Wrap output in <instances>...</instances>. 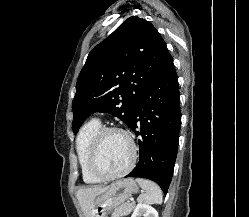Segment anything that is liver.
Masks as SVG:
<instances>
[{
    "label": "liver",
    "instance_id": "obj_1",
    "mask_svg": "<svg viewBox=\"0 0 249 217\" xmlns=\"http://www.w3.org/2000/svg\"><path fill=\"white\" fill-rule=\"evenodd\" d=\"M109 187H89L79 189L76 193L78 202L85 214V217H95L96 211L94 209L95 198L106 192Z\"/></svg>",
    "mask_w": 249,
    "mask_h": 217
}]
</instances>
